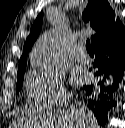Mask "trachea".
Segmentation results:
<instances>
[{"instance_id": "1", "label": "trachea", "mask_w": 125, "mask_h": 128, "mask_svg": "<svg viewBox=\"0 0 125 128\" xmlns=\"http://www.w3.org/2000/svg\"><path fill=\"white\" fill-rule=\"evenodd\" d=\"M86 50H87L88 52H93V49H92V47H91L90 40H87V41H86Z\"/></svg>"}]
</instances>
